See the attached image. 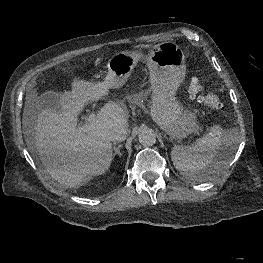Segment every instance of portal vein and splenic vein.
<instances>
[{
  "label": "portal vein and splenic vein",
  "instance_id": "18ae733b",
  "mask_svg": "<svg viewBox=\"0 0 263 263\" xmlns=\"http://www.w3.org/2000/svg\"><path fill=\"white\" fill-rule=\"evenodd\" d=\"M94 118H95V113H94V112H91V113L88 115L87 123H86L85 125H83V126H79L78 129H79L80 131H83V132L87 131L89 124H91V123L94 121Z\"/></svg>",
  "mask_w": 263,
  "mask_h": 263
}]
</instances>
